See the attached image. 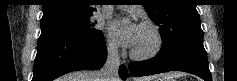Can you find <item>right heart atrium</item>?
<instances>
[{"instance_id":"obj_1","label":"right heart atrium","mask_w":237,"mask_h":81,"mask_svg":"<svg viewBox=\"0 0 237 81\" xmlns=\"http://www.w3.org/2000/svg\"><path fill=\"white\" fill-rule=\"evenodd\" d=\"M108 52L113 56H117L119 54V46L118 43L114 39L108 40Z\"/></svg>"}]
</instances>
